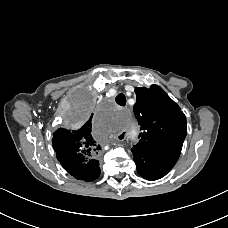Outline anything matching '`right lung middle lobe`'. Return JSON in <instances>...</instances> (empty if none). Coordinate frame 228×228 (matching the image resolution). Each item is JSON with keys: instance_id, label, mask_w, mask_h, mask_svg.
I'll use <instances>...</instances> for the list:
<instances>
[{"instance_id": "obj_1", "label": "right lung middle lobe", "mask_w": 228, "mask_h": 228, "mask_svg": "<svg viewBox=\"0 0 228 228\" xmlns=\"http://www.w3.org/2000/svg\"><path fill=\"white\" fill-rule=\"evenodd\" d=\"M93 109V98L87 92L79 94L77 97V105L72 114V117L76 122L84 120L91 110Z\"/></svg>"}]
</instances>
